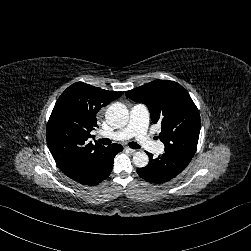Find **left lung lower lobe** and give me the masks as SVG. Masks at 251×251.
Wrapping results in <instances>:
<instances>
[{
  "label": "left lung lower lobe",
  "mask_w": 251,
  "mask_h": 251,
  "mask_svg": "<svg viewBox=\"0 0 251 251\" xmlns=\"http://www.w3.org/2000/svg\"><path fill=\"white\" fill-rule=\"evenodd\" d=\"M149 156V163L144 168H138V175L150 183H164L181 173L190 163L192 157L177 151H167L153 158Z\"/></svg>",
  "instance_id": "obj_1"
}]
</instances>
